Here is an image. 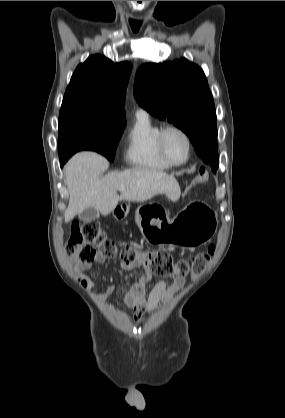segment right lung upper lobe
<instances>
[{"mask_svg": "<svg viewBox=\"0 0 285 418\" xmlns=\"http://www.w3.org/2000/svg\"><path fill=\"white\" fill-rule=\"evenodd\" d=\"M132 65L113 63L101 56H90L78 65L66 89L61 110L84 112L124 120V98Z\"/></svg>", "mask_w": 285, "mask_h": 418, "instance_id": "obj_1", "label": "right lung upper lobe"}]
</instances>
